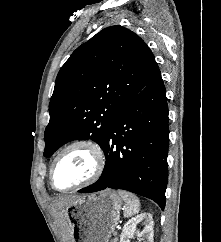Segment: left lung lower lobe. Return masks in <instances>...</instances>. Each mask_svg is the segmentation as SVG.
Listing matches in <instances>:
<instances>
[{
  "label": "left lung lower lobe",
  "mask_w": 221,
  "mask_h": 242,
  "mask_svg": "<svg viewBox=\"0 0 221 242\" xmlns=\"http://www.w3.org/2000/svg\"><path fill=\"white\" fill-rule=\"evenodd\" d=\"M168 145V107L159 71L115 117L102 146L106 157L103 173L79 192L124 189L152 199L163 210Z\"/></svg>",
  "instance_id": "obj_1"
}]
</instances>
